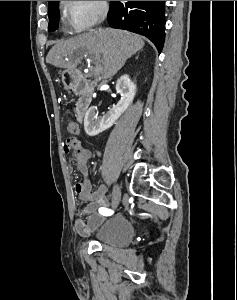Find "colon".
I'll list each match as a JSON object with an SVG mask.
<instances>
[{
	"mask_svg": "<svg viewBox=\"0 0 237 300\" xmlns=\"http://www.w3.org/2000/svg\"><path fill=\"white\" fill-rule=\"evenodd\" d=\"M65 149L73 150L74 152H76L78 159H80L82 157L81 145H80L79 141L74 138H70L66 141Z\"/></svg>",
	"mask_w": 237,
	"mask_h": 300,
	"instance_id": "colon-1",
	"label": "colon"
}]
</instances>
